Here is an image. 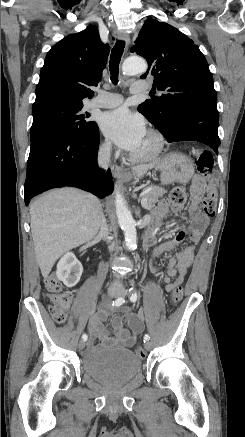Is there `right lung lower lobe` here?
I'll return each instance as SVG.
<instances>
[{
	"instance_id": "98d812e1",
	"label": "right lung lower lobe",
	"mask_w": 245,
	"mask_h": 437,
	"mask_svg": "<svg viewBox=\"0 0 245 437\" xmlns=\"http://www.w3.org/2000/svg\"><path fill=\"white\" fill-rule=\"evenodd\" d=\"M99 128L69 136L50 129L31 140L24 187L26 205L49 189L72 186L103 198L113 191L110 170L97 166Z\"/></svg>"
}]
</instances>
